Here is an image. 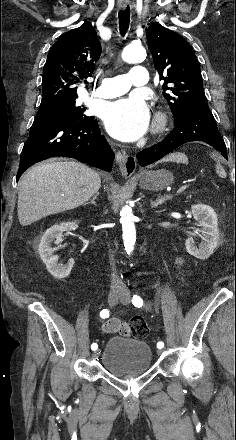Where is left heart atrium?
<instances>
[{"mask_svg": "<svg viewBox=\"0 0 236 440\" xmlns=\"http://www.w3.org/2000/svg\"><path fill=\"white\" fill-rule=\"evenodd\" d=\"M149 109L140 96L121 98L105 107L103 122L107 132L121 141H135L147 130Z\"/></svg>", "mask_w": 236, "mask_h": 440, "instance_id": "obj_1", "label": "left heart atrium"}]
</instances>
